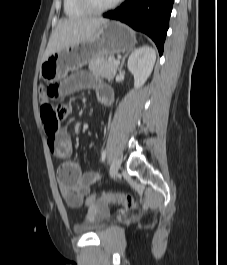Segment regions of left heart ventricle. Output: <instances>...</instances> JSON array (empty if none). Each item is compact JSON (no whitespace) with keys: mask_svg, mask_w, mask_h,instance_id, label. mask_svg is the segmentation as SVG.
<instances>
[{"mask_svg":"<svg viewBox=\"0 0 227 265\" xmlns=\"http://www.w3.org/2000/svg\"><path fill=\"white\" fill-rule=\"evenodd\" d=\"M94 6L102 7L110 4L114 0H90Z\"/></svg>","mask_w":227,"mask_h":265,"instance_id":"left-heart-ventricle-1","label":"left heart ventricle"}]
</instances>
